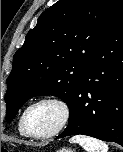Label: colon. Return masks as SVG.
<instances>
[{
  "label": "colon",
  "instance_id": "colon-1",
  "mask_svg": "<svg viewBox=\"0 0 123 152\" xmlns=\"http://www.w3.org/2000/svg\"><path fill=\"white\" fill-rule=\"evenodd\" d=\"M1 152H10V151L5 149V148H3V149H1Z\"/></svg>",
  "mask_w": 123,
  "mask_h": 152
}]
</instances>
